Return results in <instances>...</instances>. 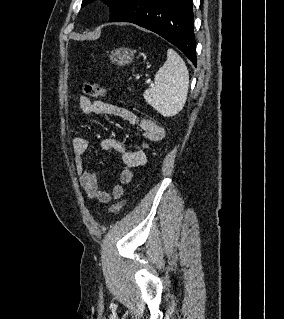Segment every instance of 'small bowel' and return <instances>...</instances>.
I'll list each match as a JSON object with an SVG mask.
<instances>
[{
    "label": "small bowel",
    "mask_w": 284,
    "mask_h": 319,
    "mask_svg": "<svg viewBox=\"0 0 284 319\" xmlns=\"http://www.w3.org/2000/svg\"><path fill=\"white\" fill-rule=\"evenodd\" d=\"M79 106L81 111L87 115H110L121 118L130 124L139 125L143 136L149 142H159L165 137V130L155 120L149 117H143L126 108L103 101H91L87 97H80ZM102 149L105 151H114L122 159L123 169L120 173V183L115 184L110 190L106 191L100 187L98 174L96 171L88 170L84 167L82 156L87 152L89 141L80 134L72 136V147L74 152V162L79 181L85 190L88 198L96 199L101 203H108L111 200H117L123 196L124 189L122 185L132 182L135 169L142 166L147 161L146 148L132 149L124 143L108 138L102 141Z\"/></svg>",
    "instance_id": "1"
}]
</instances>
